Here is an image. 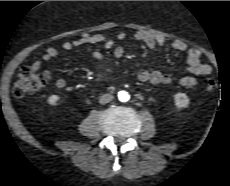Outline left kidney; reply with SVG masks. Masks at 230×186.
<instances>
[{"mask_svg": "<svg viewBox=\"0 0 230 186\" xmlns=\"http://www.w3.org/2000/svg\"><path fill=\"white\" fill-rule=\"evenodd\" d=\"M174 102L178 108H186L189 105V98L184 93H177L174 95Z\"/></svg>", "mask_w": 230, "mask_h": 186, "instance_id": "1", "label": "left kidney"}]
</instances>
